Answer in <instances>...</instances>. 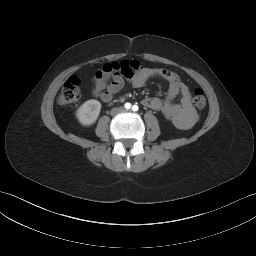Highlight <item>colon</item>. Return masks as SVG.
Wrapping results in <instances>:
<instances>
[{
	"instance_id": "1",
	"label": "colon",
	"mask_w": 256,
	"mask_h": 256,
	"mask_svg": "<svg viewBox=\"0 0 256 256\" xmlns=\"http://www.w3.org/2000/svg\"><path fill=\"white\" fill-rule=\"evenodd\" d=\"M142 68L143 67L139 62H112L105 64L95 74L94 80L100 82L117 75L131 77ZM80 94V80L77 77L72 76L64 82L58 96V102L63 105L76 102L79 100ZM193 105L198 110H202L206 107L205 95L200 90H197L193 96Z\"/></svg>"
}]
</instances>
